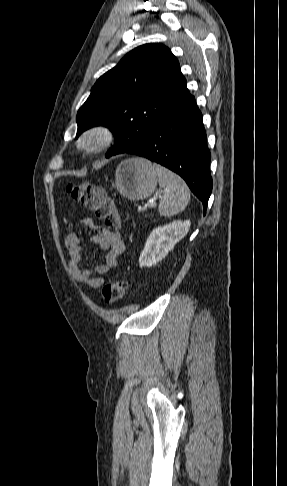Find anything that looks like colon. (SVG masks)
Masks as SVG:
<instances>
[{"label":"colon","instance_id":"obj_1","mask_svg":"<svg viewBox=\"0 0 287 486\" xmlns=\"http://www.w3.org/2000/svg\"><path fill=\"white\" fill-rule=\"evenodd\" d=\"M66 191L95 217L103 220L108 229L120 228V217L114 202L107 196L103 187L85 181L79 184H69ZM126 290L127 282L114 279L102 288V298L108 304L115 303L124 297Z\"/></svg>","mask_w":287,"mask_h":486}]
</instances>
